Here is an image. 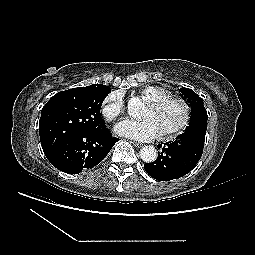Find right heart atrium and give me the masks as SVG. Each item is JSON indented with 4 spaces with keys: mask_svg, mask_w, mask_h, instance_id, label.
I'll list each match as a JSON object with an SVG mask.
<instances>
[{
    "mask_svg": "<svg viewBox=\"0 0 255 255\" xmlns=\"http://www.w3.org/2000/svg\"><path fill=\"white\" fill-rule=\"evenodd\" d=\"M102 115L108 121L112 122L125 112V103L120 92H111L103 101Z\"/></svg>",
    "mask_w": 255,
    "mask_h": 255,
    "instance_id": "right-heart-atrium-1",
    "label": "right heart atrium"
}]
</instances>
